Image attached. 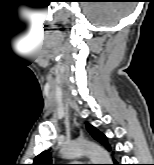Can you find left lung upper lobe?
Instances as JSON below:
<instances>
[{"mask_svg": "<svg viewBox=\"0 0 154 165\" xmlns=\"http://www.w3.org/2000/svg\"><path fill=\"white\" fill-rule=\"evenodd\" d=\"M87 129L97 141L101 142L103 145L109 148V145L106 141V136L104 134H102L96 128L89 124L87 125ZM32 165H53L50 152L46 150L40 153L38 156L35 157Z\"/></svg>", "mask_w": 154, "mask_h": 165, "instance_id": "1", "label": "left lung upper lobe"}]
</instances>
